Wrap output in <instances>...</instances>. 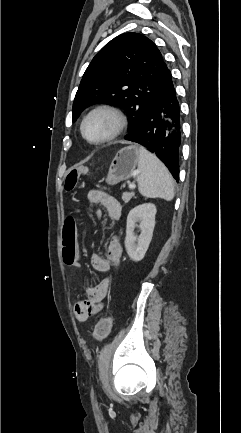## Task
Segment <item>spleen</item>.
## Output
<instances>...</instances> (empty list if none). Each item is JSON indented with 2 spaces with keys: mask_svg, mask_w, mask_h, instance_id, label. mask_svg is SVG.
<instances>
[{
  "mask_svg": "<svg viewBox=\"0 0 241 433\" xmlns=\"http://www.w3.org/2000/svg\"><path fill=\"white\" fill-rule=\"evenodd\" d=\"M138 190L146 198H174V180L165 165L144 147H139Z\"/></svg>",
  "mask_w": 241,
  "mask_h": 433,
  "instance_id": "3e777b00",
  "label": "spleen"
}]
</instances>
